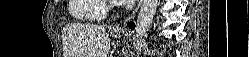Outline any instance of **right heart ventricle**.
I'll list each match as a JSON object with an SVG mask.
<instances>
[{"instance_id": "1", "label": "right heart ventricle", "mask_w": 249, "mask_h": 57, "mask_svg": "<svg viewBox=\"0 0 249 57\" xmlns=\"http://www.w3.org/2000/svg\"><path fill=\"white\" fill-rule=\"evenodd\" d=\"M70 15L82 21H99L106 16L104 0H70Z\"/></svg>"}]
</instances>
